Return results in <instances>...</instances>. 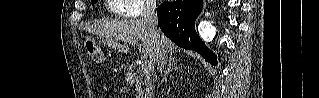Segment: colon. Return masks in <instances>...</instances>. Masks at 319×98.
<instances>
[{
    "label": "colon",
    "mask_w": 319,
    "mask_h": 98,
    "mask_svg": "<svg viewBox=\"0 0 319 98\" xmlns=\"http://www.w3.org/2000/svg\"><path fill=\"white\" fill-rule=\"evenodd\" d=\"M84 45L87 55L93 62L102 63L104 61L103 52L92 39L86 38Z\"/></svg>",
    "instance_id": "colon-1"
}]
</instances>
